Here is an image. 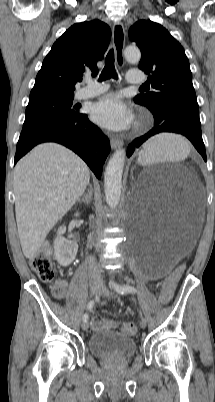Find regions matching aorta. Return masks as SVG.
I'll return each mask as SVG.
<instances>
[{
	"instance_id": "762f6f07",
	"label": "aorta",
	"mask_w": 215,
	"mask_h": 402,
	"mask_svg": "<svg viewBox=\"0 0 215 402\" xmlns=\"http://www.w3.org/2000/svg\"><path fill=\"white\" fill-rule=\"evenodd\" d=\"M124 56L128 62L138 63L141 59V52L137 47L128 46L125 48ZM125 155L124 149L116 150L104 173L105 197L108 206L111 208H115L120 201Z\"/></svg>"
}]
</instances>
